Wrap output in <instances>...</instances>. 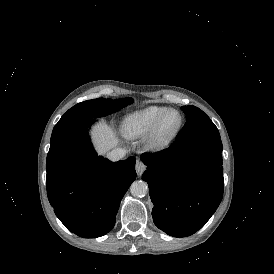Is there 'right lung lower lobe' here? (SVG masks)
<instances>
[{"label":"right lung lower lobe","instance_id":"obj_1","mask_svg":"<svg viewBox=\"0 0 274 274\" xmlns=\"http://www.w3.org/2000/svg\"><path fill=\"white\" fill-rule=\"evenodd\" d=\"M91 120L50 144L47 195L54 212L73 233L100 237L115 224L120 201L136 178L135 158L98 157L88 135Z\"/></svg>","mask_w":274,"mask_h":274}]
</instances>
